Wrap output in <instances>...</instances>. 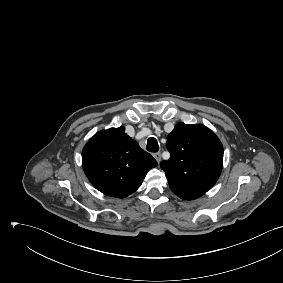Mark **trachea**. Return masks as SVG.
I'll use <instances>...</instances> for the list:
<instances>
[{"label":"trachea","mask_w":283,"mask_h":283,"mask_svg":"<svg viewBox=\"0 0 283 283\" xmlns=\"http://www.w3.org/2000/svg\"><path fill=\"white\" fill-rule=\"evenodd\" d=\"M146 149H147L149 152H158V150H159V145H158L157 140H156L154 137H150V138L147 140Z\"/></svg>","instance_id":"1"}]
</instances>
